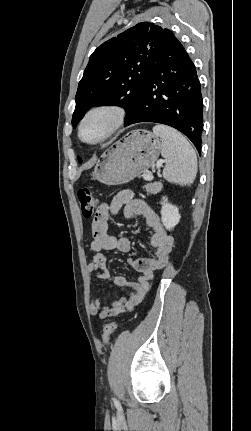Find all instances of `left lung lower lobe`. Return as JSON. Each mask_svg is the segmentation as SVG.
I'll list each match as a JSON object with an SVG mask.
<instances>
[{"mask_svg":"<svg viewBox=\"0 0 251 431\" xmlns=\"http://www.w3.org/2000/svg\"><path fill=\"white\" fill-rule=\"evenodd\" d=\"M139 122L174 127L201 151V86L193 62L174 35L157 50L142 94L124 126Z\"/></svg>","mask_w":251,"mask_h":431,"instance_id":"1","label":"left lung lower lobe"}]
</instances>
